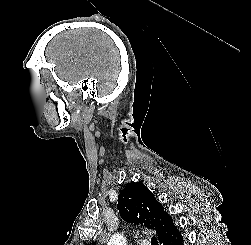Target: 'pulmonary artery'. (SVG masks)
I'll list each match as a JSON object with an SVG mask.
<instances>
[{
    "instance_id": "e3ab8cb5",
    "label": "pulmonary artery",
    "mask_w": 251,
    "mask_h": 245,
    "mask_svg": "<svg viewBox=\"0 0 251 245\" xmlns=\"http://www.w3.org/2000/svg\"><path fill=\"white\" fill-rule=\"evenodd\" d=\"M141 245H146V243H141Z\"/></svg>"
}]
</instances>
